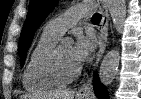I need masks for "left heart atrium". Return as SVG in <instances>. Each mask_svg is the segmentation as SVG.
<instances>
[{
  "label": "left heart atrium",
  "instance_id": "1",
  "mask_svg": "<svg viewBox=\"0 0 141 99\" xmlns=\"http://www.w3.org/2000/svg\"><path fill=\"white\" fill-rule=\"evenodd\" d=\"M93 48V40L89 37L79 35L71 47V57L77 68H80L89 57Z\"/></svg>",
  "mask_w": 141,
  "mask_h": 99
}]
</instances>
